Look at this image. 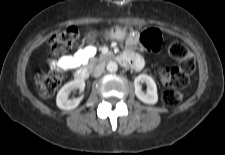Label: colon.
Instances as JSON below:
<instances>
[{"label": "colon", "mask_w": 225, "mask_h": 155, "mask_svg": "<svg viewBox=\"0 0 225 155\" xmlns=\"http://www.w3.org/2000/svg\"><path fill=\"white\" fill-rule=\"evenodd\" d=\"M79 36L76 27L70 26L50 36L48 46L55 54H63L69 51ZM141 43L150 50H158L161 46L160 33L155 29H148L140 36ZM169 55L177 61L172 67L163 68L160 72L162 82L168 87L163 93L162 100L167 106L177 105L183 89L189 82L195 71V59L185 44L179 41L172 42L168 48ZM63 78V69L59 65L49 73L40 74L37 77L39 92L43 97H49L59 87Z\"/></svg>", "instance_id": "1"}]
</instances>
